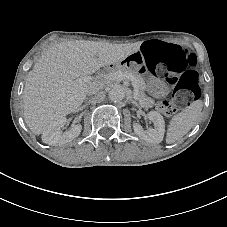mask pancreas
Masks as SVG:
<instances>
[{"label":"pancreas","mask_w":227,"mask_h":227,"mask_svg":"<svg viewBox=\"0 0 227 227\" xmlns=\"http://www.w3.org/2000/svg\"><path fill=\"white\" fill-rule=\"evenodd\" d=\"M119 72H127V73H130L132 74L134 77H135V80L139 86V94L137 96V99L140 103V105L142 107H149L151 106L153 103H154V99H152L151 97L147 96L145 94V91H146V82L145 80L143 79V77L136 73V72H133L131 70H128L127 68L125 67H117V68H114L111 70V75L115 74V73H119ZM101 80L107 84V77L106 76H102L101 77Z\"/></svg>","instance_id":"pancreas-1"}]
</instances>
